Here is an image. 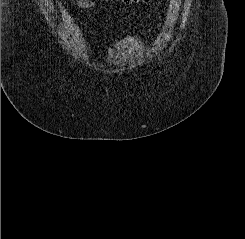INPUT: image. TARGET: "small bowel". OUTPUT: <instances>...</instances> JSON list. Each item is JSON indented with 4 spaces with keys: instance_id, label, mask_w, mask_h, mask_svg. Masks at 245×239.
I'll return each instance as SVG.
<instances>
[{
    "instance_id": "1",
    "label": "small bowel",
    "mask_w": 245,
    "mask_h": 239,
    "mask_svg": "<svg viewBox=\"0 0 245 239\" xmlns=\"http://www.w3.org/2000/svg\"><path fill=\"white\" fill-rule=\"evenodd\" d=\"M77 4L81 8L93 9L96 7V3L92 0H77Z\"/></svg>"
}]
</instances>
